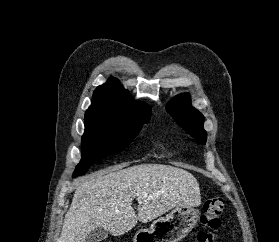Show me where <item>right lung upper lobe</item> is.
I'll return each mask as SVG.
<instances>
[{"instance_id": "obj_1", "label": "right lung upper lobe", "mask_w": 279, "mask_h": 242, "mask_svg": "<svg viewBox=\"0 0 279 242\" xmlns=\"http://www.w3.org/2000/svg\"><path fill=\"white\" fill-rule=\"evenodd\" d=\"M150 117L151 108L133 100L113 77L96 88L92 104L85 113V119H102L122 125L143 123Z\"/></svg>"}]
</instances>
